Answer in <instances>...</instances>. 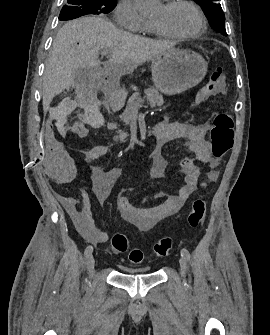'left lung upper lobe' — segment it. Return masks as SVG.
Segmentation results:
<instances>
[{"instance_id":"1","label":"left lung upper lobe","mask_w":270,"mask_h":335,"mask_svg":"<svg viewBox=\"0 0 270 335\" xmlns=\"http://www.w3.org/2000/svg\"><path fill=\"white\" fill-rule=\"evenodd\" d=\"M203 10L211 26L222 35H227L225 29V16L218 0H194Z\"/></svg>"}]
</instances>
